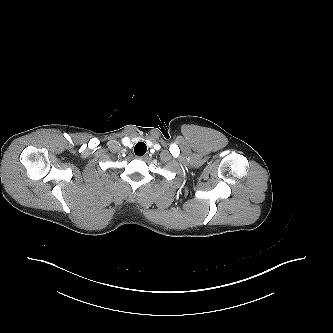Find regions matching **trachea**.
Listing matches in <instances>:
<instances>
[{
  "mask_svg": "<svg viewBox=\"0 0 333 333\" xmlns=\"http://www.w3.org/2000/svg\"><path fill=\"white\" fill-rule=\"evenodd\" d=\"M147 151V146L144 142H138L135 145L134 152L138 156H143Z\"/></svg>",
  "mask_w": 333,
  "mask_h": 333,
  "instance_id": "3493384b",
  "label": "trachea"
}]
</instances>
